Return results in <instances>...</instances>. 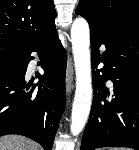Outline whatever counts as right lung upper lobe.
I'll use <instances>...</instances> for the list:
<instances>
[{
  "instance_id": "1",
  "label": "right lung upper lobe",
  "mask_w": 139,
  "mask_h": 150,
  "mask_svg": "<svg viewBox=\"0 0 139 150\" xmlns=\"http://www.w3.org/2000/svg\"><path fill=\"white\" fill-rule=\"evenodd\" d=\"M53 0H0V45L23 49L55 26Z\"/></svg>"
}]
</instances>
